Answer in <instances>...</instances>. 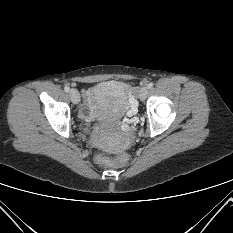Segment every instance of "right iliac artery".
Here are the masks:
<instances>
[{"mask_svg": "<svg viewBox=\"0 0 233 233\" xmlns=\"http://www.w3.org/2000/svg\"><path fill=\"white\" fill-rule=\"evenodd\" d=\"M64 90H65L66 92H69V91H70V88H69L68 86H65V87H64Z\"/></svg>", "mask_w": 233, "mask_h": 233, "instance_id": "obj_1", "label": "right iliac artery"}]
</instances>
